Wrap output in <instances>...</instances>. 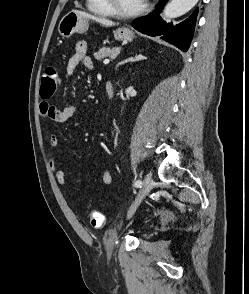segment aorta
<instances>
[{
  "mask_svg": "<svg viewBox=\"0 0 249 294\" xmlns=\"http://www.w3.org/2000/svg\"><path fill=\"white\" fill-rule=\"evenodd\" d=\"M198 0H171L164 9L166 18H177L189 12Z\"/></svg>",
  "mask_w": 249,
  "mask_h": 294,
  "instance_id": "aorta-1",
  "label": "aorta"
}]
</instances>
